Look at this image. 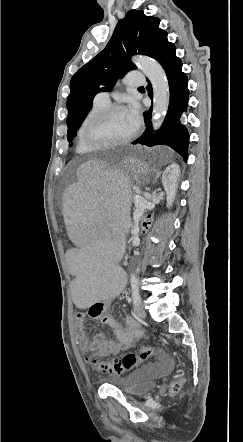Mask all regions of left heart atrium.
<instances>
[{
    "label": "left heart atrium",
    "instance_id": "39dd6f15",
    "mask_svg": "<svg viewBox=\"0 0 243 442\" xmlns=\"http://www.w3.org/2000/svg\"><path fill=\"white\" fill-rule=\"evenodd\" d=\"M126 111L132 125L134 128H137L141 120L139 107L136 104H132Z\"/></svg>",
    "mask_w": 243,
    "mask_h": 442
}]
</instances>
